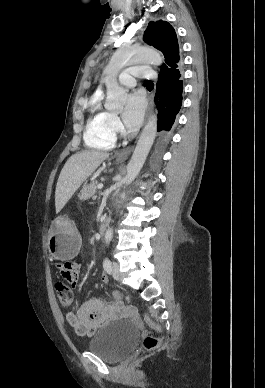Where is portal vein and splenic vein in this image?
Here are the masks:
<instances>
[{
  "label": "portal vein and splenic vein",
  "mask_w": 265,
  "mask_h": 388,
  "mask_svg": "<svg viewBox=\"0 0 265 388\" xmlns=\"http://www.w3.org/2000/svg\"><path fill=\"white\" fill-rule=\"evenodd\" d=\"M97 188H99V190H101V188H103V184H98Z\"/></svg>",
  "instance_id": "18ae733b"
}]
</instances>
